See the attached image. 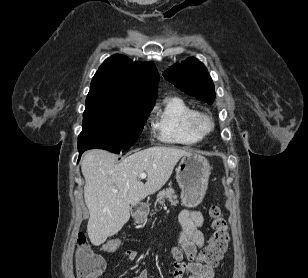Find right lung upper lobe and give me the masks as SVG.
<instances>
[{
    "mask_svg": "<svg viewBox=\"0 0 308 278\" xmlns=\"http://www.w3.org/2000/svg\"><path fill=\"white\" fill-rule=\"evenodd\" d=\"M156 67L133 63L123 55L109 57L95 73L83 117L135 112L157 97Z\"/></svg>",
    "mask_w": 308,
    "mask_h": 278,
    "instance_id": "1",
    "label": "right lung upper lobe"
}]
</instances>
